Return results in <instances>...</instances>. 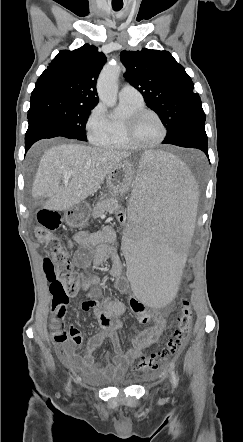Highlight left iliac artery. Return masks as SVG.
<instances>
[{
    "instance_id": "left-iliac-artery-1",
    "label": "left iliac artery",
    "mask_w": 243,
    "mask_h": 442,
    "mask_svg": "<svg viewBox=\"0 0 243 442\" xmlns=\"http://www.w3.org/2000/svg\"><path fill=\"white\" fill-rule=\"evenodd\" d=\"M171 375H172V384L174 387H176L178 384V379H177L175 372L173 370H171Z\"/></svg>"
}]
</instances>
